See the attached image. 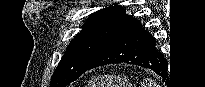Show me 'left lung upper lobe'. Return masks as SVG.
<instances>
[{
    "label": "left lung upper lobe",
    "mask_w": 205,
    "mask_h": 87,
    "mask_svg": "<svg viewBox=\"0 0 205 87\" xmlns=\"http://www.w3.org/2000/svg\"><path fill=\"white\" fill-rule=\"evenodd\" d=\"M126 16L125 9L117 5L93 13L68 45L52 76L51 87H65L80 77Z\"/></svg>",
    "instance_id": "left-lung-upper-lobe-1"
}]
</instances>
